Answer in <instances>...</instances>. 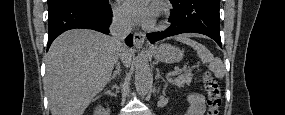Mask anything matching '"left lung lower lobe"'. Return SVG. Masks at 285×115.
<instances>
[{"mask_svg":"<svg viewBox=\"0 0 285 115\" xmlns=\"http://www.w3.org/2000/svg\"><path fill=\"white\" fill-rule=\"evenodd\" d=\"M173 5L169 21L171 25L161 32L149 33L154 43L163 38L188 32L207 35L221 47L220 0H170Z\"/></svg>","mask_w":285,"mask_h":115,"instance_id":"0a47b994","label":"left lung lower lobe"}]
</instances>
